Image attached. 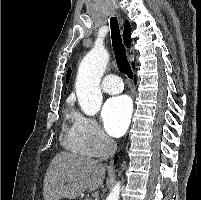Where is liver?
<instances>
[{
	"mask_svg": "<svg viewBox=\"0 0 201 200\" xmlns=\"http://www.w3.org/2000/svg\"><path fill=\"white\" fill-rule=\"evenodd\" d=\"M105 168L90 157L61 152L52 159L44 178V200L76 199L86 189L101 187Z\"/></svg>",
	"mask_w": 201,
	"mask_h": 200,
	"instance_id": "6515ba94",
	"label": "liver"
}]
</instances>
